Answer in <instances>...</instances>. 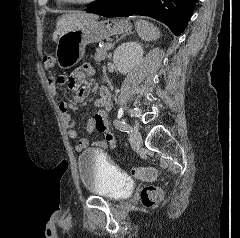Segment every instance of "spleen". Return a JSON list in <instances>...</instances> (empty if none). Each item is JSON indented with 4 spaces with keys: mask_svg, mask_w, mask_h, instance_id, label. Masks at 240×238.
I'll list each match as a JSON object with an SVG mask.
<instances>
[{
    "mask_svg": "<svg viewBox=\"0 0 240 238\" xmlns=\"http://www.w3.org/2000/svg\"><path fill=\"white\" fill-rule=\"evenodd\" d=\"M135 28L138 36L144 41H153L160 37L159 29L148 21H136Z\"/></svg>",
    "mask_w": 240,
    "mask_h": 238,
    "instance_id": "3e777b00",
    "label": "spleen"
}]
</instances>
